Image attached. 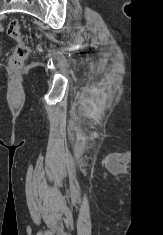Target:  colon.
<instances>
[{
  "instance_id": "1",
  "label": "colon",
  "mask_w": 163,
  "mask_h": 235,
  "mask_svg": "<svg viewBox=\"0 0 163 235\" xmlns=\"http://www.w3.org/2000/svg\"><path fill=\"white\" fill-rule=\"evenodd\" d=\"M7 34L17 42L14 54L10 58V65L13 70H18L28 57L29 48L24 41L19 22L17 20L9 22L7 26Z\"/></svg>"
}]
</instances>
